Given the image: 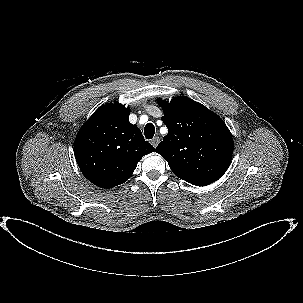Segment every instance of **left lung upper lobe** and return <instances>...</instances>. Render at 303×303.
Instances as JSON below:
<instances>
[{
    "label": "left lung upper lobe",
    "mask_w": 303,
    "mask_h": 303,
    "mask_svg": "<svg viewBox=\"0 0 303 303\" xmlns=\"http://www.w3.org/2000/svg\"><path fill=\"white\" fill-rule=\"evenodd\" d=\"M163 123L168 134L156 148L179 178L193 185L219 179L229 167L233 138L223 120L204 105L184 96L166 102Z\"/></svg>",
    "instance_id": "1"
}]
</instances>
